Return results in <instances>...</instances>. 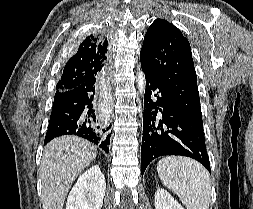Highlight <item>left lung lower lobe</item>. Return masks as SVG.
<instances>
[{
  "label": "left lung lower lobe",
  "mask_w": 253,
  "mask_h": 209,
  "mask_svg": "<svg viewBox=\"0 0 253 209\" xmlns=\"http://www.w3.org/2000/svg\"><path fill=\"white\" fill-rule=\"evenodd\" d=\"M142 70L146 78L141 145L142 176L153 159L165 155L191 157L210 172L203 128L182 113L167 87L157 77L144 68Z\"/></svg>",
  "instance_id": "0a47b994"
}]
</instances>
